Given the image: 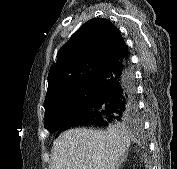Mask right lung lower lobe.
Here are the masks:
<instances>
[{
	"label": "right lung lower lobe",
	"instance_id": "98d812e1",
	"mask_svg": "<svg viewBox=\"0 0 177 169\" xmlns=\"http://www.w3.org/2000/svg\"><path fill=\"white\" fill-rule=\"evenodd\" d=\"M95 94L91 103L58 130L93 125L107 126L112 122H126L138 117L134 72L128 53L101 70L94 79Z\"/></svg>",
	"mask_w": 177,
	"mask_h": 169
}]
</instances>
